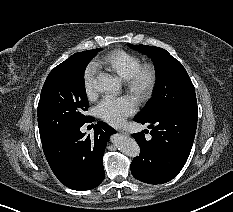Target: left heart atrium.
Wrapping results in <instances>:
<instances>
[{"label": "left heart atrium", "mask_w": 233, "mask_h": 212, "mask_svg": "<svg viewBox=\"0 0 233 212\" xmlns=\"http://www.w3.org/2000/svg\"><path fill=\"white\" fill-rule=\"evenodd\" d=\"M136 110V103L129 96L106 97L97 106L98 116L107 123L119 126Z\"/></svg>", "instance_id": "1"}]
</instances>
